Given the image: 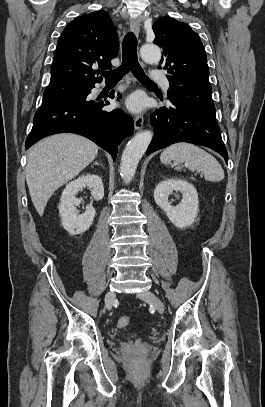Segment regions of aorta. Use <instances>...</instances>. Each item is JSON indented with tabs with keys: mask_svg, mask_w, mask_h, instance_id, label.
<instances>
[{
	"mask_svg": "<svg viewBox=\"0 0 265 407\" xmlns=\"http://www.w3.org/2000/svg\"><path fill=\"white\" fill-rule=\"evenodd\" d=\"M141 58L145 62H158L161 59L159 47L144 44L140 49ZM153 134L145 130L137 133L126 145L120 163V173L125 182H130L135 175L138 163L147 150Z\"/></svg>",
	"mask_w": 265,
	"mask_h": 407,
	"instance_id": "aorta-1",
	"label": "aorta"
}]
</instances>
